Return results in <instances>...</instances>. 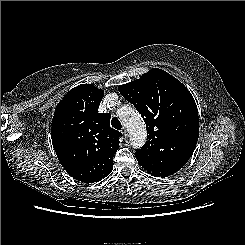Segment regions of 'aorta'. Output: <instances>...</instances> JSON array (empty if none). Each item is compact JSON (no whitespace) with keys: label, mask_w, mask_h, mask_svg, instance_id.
Returning <instances> with one entry per match:
<instances>
[{"label":"aorta","mask_w":245,"mask_h":245,"mask_svg":"<svg viewBox=\"0 0 245 245\" xmlns=\"http://www.w3.org/2000/svg\"><path fill=\"white\" fill-rule=\"evenodd\" d=\"M118 115L129 132L131 145L134 148L144 145L147 132L141 115L130 106H123Z\"/></svg>","instance_id":"obj_1"}]
</instances>
